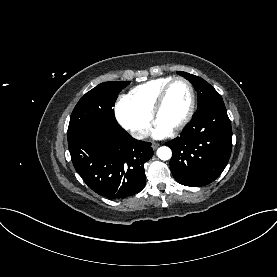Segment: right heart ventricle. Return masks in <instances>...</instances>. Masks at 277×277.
Masks as SVG:
<instances>
[{"label":"right heart ventricle","instance_id":"1","mask_svg":"<svg viewBox=\"0 0 277 277\" xmlns=\"http://www.w3.org/2000/svg\"><path fill=\"white\" fill-rule=\"evenodd\" d=\"M171 79L172 77L152 79L130 89L126 97L140 111L151 115L152 107L159 92Z\"/></svg>","mask_w":277,"mask_h":277}]
</instances>
